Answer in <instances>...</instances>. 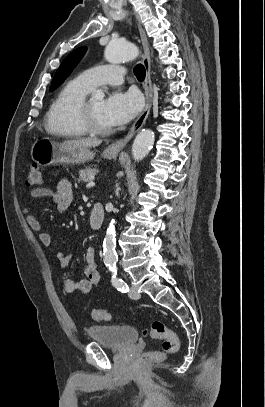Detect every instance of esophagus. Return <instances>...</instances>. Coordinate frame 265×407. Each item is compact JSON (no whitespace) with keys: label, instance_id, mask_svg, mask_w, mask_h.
Masks as SVG:
<instances>
[{"label":"esophagus","instance_id":"obj_1","mask_svg":"<svg viewBox=\"0 0 265 407\" xmlns=\"http://www.w3.org/2000/svg\"><path fill=\"white\" fill-rule=\"evenodd\" d=\"M139 28V34L144 50L143 54V66L145 68V80H144V94H145V107L143 111L140 113V115L137 117L129 131L125 136L122 138L118 139L117 141L113 142L110 145V149L113 151H120L124 148V146L130 141V139L144 126L151 107H152V97H153V87H152V80H151V56H150V50H149V43L148 39L146 37V34L143 30V28L138 24Z\"/></svg>","mask_w":265,"mask_h":407}]
</instances>
